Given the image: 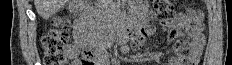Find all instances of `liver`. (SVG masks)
I'll return each instance as SVG.
<instances>
[{
	"mask_svg": "<svg viewBox=\"0 0 232 65\" xmlns=\"http://www.w3.org/2000/svg\"><path fill=\"white\" fill-rule=\"evenodd\" d=\"M68 0H34L37 13L44 19H48L57 13Z\"/></svg>",
	"mask_w": 232,
	"mask_h": 65,
	"instance_id": "obj_1",
	"label": "liver"
}]
</instances>
